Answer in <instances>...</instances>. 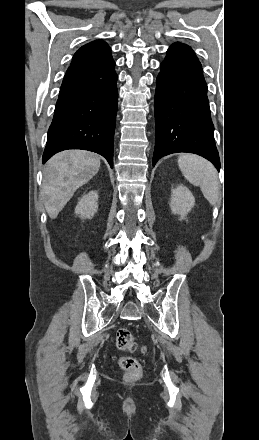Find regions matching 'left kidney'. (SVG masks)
I'll use <instances>...</instances> for the list:
<instances>
[{
	"instance_id": "left-kidney-1",
	"label": "left kidney",
	"mask_w": 259,
	"mask_h": 440,
	"mask_svg": "<svg viewBox=\"0 0 259 440\" xmlns=\"http://www.w3.org/2000/svg\"><path fill=\"white\" fill-rule=\"evenodd\" d=\"M195 204V198L189 189L185 186H178L172 189L170 208L173 214L180 215V219H184Z\"/></svg>"
}]
</instances>
